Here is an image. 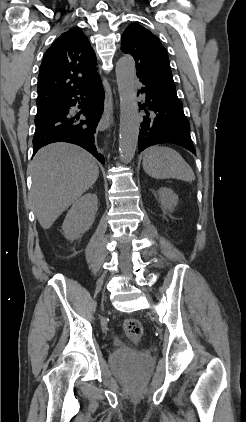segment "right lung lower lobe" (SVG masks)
<instances>
[{"mask_svg":"<svg viewBox=\"0 0 246 422\" xmlns=\"http://www.w3.org/2000/svg\"><path fill=\"white\" fill-rule=\"evenodd\" d=\"M103 102L104 91L98 75L85 88L44 108L45 115L35 118L33 155L49 143L69 142L83 147L104 164V157L94 143L96 127L103 113ZM77 103L80 104L78 107L82 109L85 120L70 114V108Z\"/></svg>","mask_w":246,"mask_h":422,"instance_id":"1","label":"right lung lower lobe"}]
</instances>
